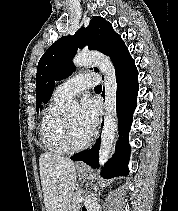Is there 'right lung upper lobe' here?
Listing matches in <instances>:
<instances>
[{
    "mask_svg": "<svg viewBox=\"0 0 178 211\" xmlns=\"http://www.w3.org/2000/svg\"><path fill=\"white\" fill-rule=\"evenodd\" d=\"M53 86L52 85H49L46 89H45V91H44V94H43V102L44 103H47L48 101H49V98H50V96H51V93H52V91H53ZM42 108V107H41Z\"/></svg>",
    "mask_w": 178,
    "mask_h": 211,
    "instance_id": "cb5924a9",
    "label": "right lung upper lobe"
}]
</instances>
